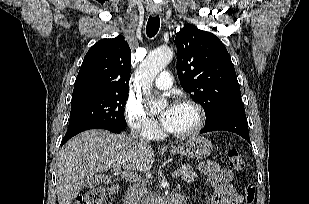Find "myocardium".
<instances>
[{"label":"myocardium","instance_id":"1","mask_svg":"<svg viewBox=\"0 0 309 204\" xmlns=\"http://www.w3.org/2000/svg\"><path fill=\"white\" fill-rule=\"evenodd\" d=\"M176 105L181 106H189L193 108L197 113V122L196 124L189 130L183 132H172L168 129H165L166 133L175 138H188L194 136L201 132L206 124V113L204 108L192 99H182L179 100Z\"/></svg>","mask_w":309,"mask_h":204}]
</instances>
